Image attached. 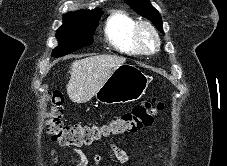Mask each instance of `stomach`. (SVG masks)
Masks as SVG:
<instances>
[{
	"label": "stomach",
	"instance_id": "stomach-1",
	"mask_svg": "<svg viewBox=\"0 0 227 166\" xmlns=\"http://www.w3.org/2000/svg\"><path fill=\"white\" fill-rule=\"evenodd\" d=\"M149 77L132 64L118 67L96 92L98 102L112 105L140 99L149 86Z\"/></svg>",
	"mask_w": 227,
	"mask_h": 166
}]
</instances>
